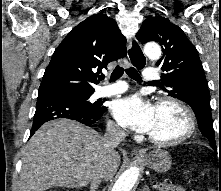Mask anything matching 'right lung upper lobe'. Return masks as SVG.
I'll return each mask as SVG.
<instances>
[{
  "label": "right lung upper lobe",
  "instance_id": "obj_1",
  "mask_svg": "<svg viewBox=\"0 0 221 191\" xmlns=\"http://www.w3.org/2000/svg\"><path fill=\"white\" fill-rule=\"evenodd\" d=\"M125 43L114 19L103 13L88 17L55 49L39 92L94 90L101 69L126 55Z\"/></svg>",
  "mask_w": 221,
  "mask_h": 191
}]
</instances>
